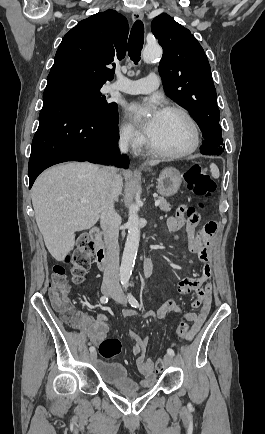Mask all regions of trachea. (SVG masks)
Here are the masks:
<instances>
[{
    "instance_id": "trachea-1",
    "label": "trachea",
    "mask_w": 265,
    "mask_h": 434,
    "mask_svg": "<svg viewBox=\"0 0 265 434\" xmlns=\"http://www.w3.org/2000/svg\"><path fill=\"white\" fill-rule=\"evenodd\" d=\"M144 41V25L136 21L132 27L128 40V55L134 63H138L141 56Z\"/></svg>"
}]
</instances>
